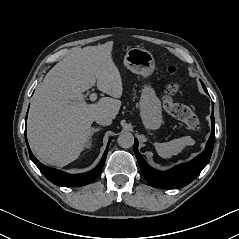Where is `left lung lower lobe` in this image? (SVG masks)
I'll use <instances>...</instances> for the list:
<instances>
[{
    "instance_id": "left-lung-lower-lobe-1",
    "label": "left lung lower lobe",
    "mask_w": 239,
    "mask_h": 239,
    "mask_svg": "<svg viewBox=\"0 0 239 239\" xmlns=\"http://www.w3.org/2000/svg\"><path fill=\"white\" fill-rule=\"evenodd\" d=\"M202 86L204 91L208 93L203 83ZM211 123L212 131L205 150L190 162L178 165L167 171H158L150 167L138 152V141L135 139V156L147 182L153 187L162 189L182 188L191 183L208 164L212 155L215 140V121L213 111L211 115Z\"/></svg>"
}]
</instances>
